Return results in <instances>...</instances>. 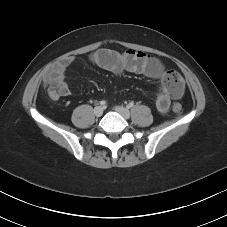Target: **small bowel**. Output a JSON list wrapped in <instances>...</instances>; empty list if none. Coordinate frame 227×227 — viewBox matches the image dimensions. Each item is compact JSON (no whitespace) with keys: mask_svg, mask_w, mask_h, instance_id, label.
<instances>
[{"mask_svg":"<svg viewBox=\"0 0 227 227\" xmlns=\"http://www.w3.org/2000/svg\"><path fill=\"white\" fill-rule=\"evenodd\" d=\"M90 60L98 67L113 73L128 71L160 79L162 84L156 96V108L161 114L168 111L172 99H178L182 96V79H168L167 71L161 61L142 51L127 50L119 52L113 49L101 48L91 54ZM72 61V59H67L54 65L44 76L45 83L50 85L49 96L53 100L68 97L72 93L65 81V71Z\"/></svg>","mask_w":227,"mask_h":227,"instance_id":"obj_1","label":"small bowel"}]
</instances>
